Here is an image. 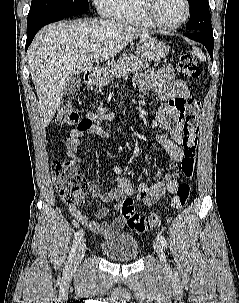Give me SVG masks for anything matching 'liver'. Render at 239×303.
Listing matches in <instances>:
<instances>
[{"instance_id":"obj_1","label":"liver","mask_w":239,"mask_h":303,"mask_svg":"<svg viewBox=\"0 0 239 303\" xmlns=\"http://www.w3.org/2000/svg\"><path fill=\"white\" fill-rule=\"evenodd\" d=\"M145 36L147 31L115 20L61 21L42 28L27 56L44 125L55 115L69 75L115 57L128 43Z\"/></svg>"}]
</instances>
